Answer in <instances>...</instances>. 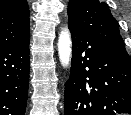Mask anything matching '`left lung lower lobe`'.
Returning <instances> with one entry per match:
<instances>
[{
	"instance_id": "left-lung-lower-lobe-1",
	"label": "left lung lower lobe",
	"mask_w": 131,
	"mask_h": 115,
	"mask_svg": "<svg viewBox=\"0 0 131 115\" xmlns=\"http://www.w3.org/2000/svg\"><path fill=\"white\" fill-rule=\"evenodd\" d=\"M72 66L65 83V115L131 114V64L93 35L68 23Z\"/></svg>"
}]
</instances>
